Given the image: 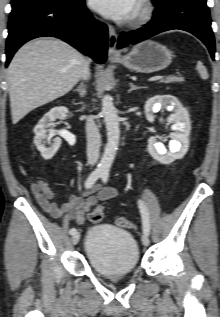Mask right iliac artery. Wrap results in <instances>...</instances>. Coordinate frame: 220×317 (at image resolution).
Wrapping results in <instances>:
<instances>
[{
  "instance_id": "82829eb1",
  "label": "right iliac artery",
  "mask_w": 220,
  "mask_h": 317,
  "mask_svg": "<svg viewBox=\"0 0 220 317\" xmlns=\"http://www.w3.org/2000/svg\"><path fill=\"white\" fill-rule=\"evenodd\" d=\"M102 171L100 170H95L93 171L90 176L87 178V180L85 181V188L89 189L91 188L94 183L101 177ZM77 232V230L75 228H71L69 233L71 235H74Z\"/></svg>"
}]
</instances>
